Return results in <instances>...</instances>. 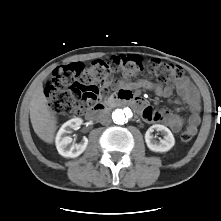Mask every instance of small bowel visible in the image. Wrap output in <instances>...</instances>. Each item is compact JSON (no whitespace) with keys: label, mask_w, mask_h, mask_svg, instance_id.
<instances>
[{"label":"small bowel","mask_w":221,"mask_h":221,"mask_svg":"<svg viewBox=\"0 0 221 221\" xmlns=\"http://www.w3.org/2000/svg\"><path fill=\"white\" fill-rule=\"evenodd\" d=\"M122 84V81H114L111 78H108L105 81L106 86H120ZM141 84L149 90L153 91L159 97H168L172 92L171 88L162 87L156 83L147 80L143 81ZM177 89L180 95V99L185 102L190 112V115L187 119H184L179 114H171L166 111H156L145 101L141 107L143 118L147 121L164 122L174 132L184 130L191 131L193 134H195L200 123L201 113V102L199 93L187 78H182L179 80Z\"/></svg>","instance_id":"obj_1"}]
</instances>
